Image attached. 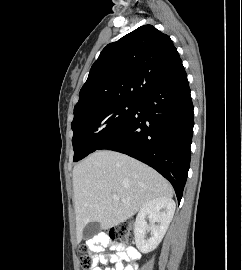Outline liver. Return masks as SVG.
Here are the masks:
<instances>
[{
  "label": "liver",
  "instance_id": "obj_1",
  "mask_svg": "<svg viewBox=\"0 0 242 270\" xmlns=\"http://www.w3.org/2000/svg\"><path fill=\"white\" fill-rule=\"evenodd\" d=\"M73 189L78 243L90 222L109 229L132 217L148 201L173 196L170 183L154 169L110 150L96 151L73 168Z\"/></svg>",
  "mask_w": 242,
  "mask_h": 270
}]
</instances>
